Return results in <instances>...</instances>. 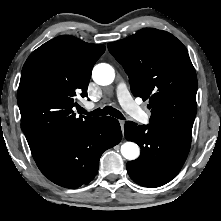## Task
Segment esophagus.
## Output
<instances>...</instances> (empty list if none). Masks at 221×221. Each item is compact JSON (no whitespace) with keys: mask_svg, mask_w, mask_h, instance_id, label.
Returning <instances> with one entry per match:
<instances>
[{"mask_svg":"<svg viewBox=\"0 0 221 221\" xmlns=\"http://www.w3.org/2000/svg\"><path fill=\"white\" fill-rule=\"evenodd\" d=\"M119 123H120V125H121V128L123 129L124 124H125V121H124V120H119Z\"/></svg>","mask_w":221,"mask_h":221,"instance_id":"1","label":"esophagus"}]
</instances>
